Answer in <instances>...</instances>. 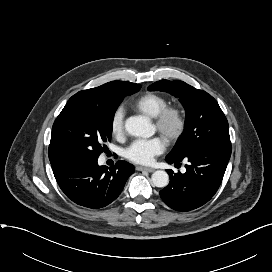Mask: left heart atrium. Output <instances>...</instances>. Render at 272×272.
Here are the masks:
<instances>
[{"label": "left heart atrium", "mask_w": 272, "mask_h": 272, "mask_svg": "<svg viewBox=\"0 0 272 272\" xmlns=\"http://www.w3.org/2000/svg\"><path fill=\"white\" fill-rule=\"evenodd\" d=\"M165 149V141L161 137L139 139L133 141L124 151V156L136 164H150Z\"/></svg>", "instance_id": "obj_1"}]
</instances>
